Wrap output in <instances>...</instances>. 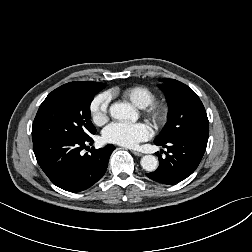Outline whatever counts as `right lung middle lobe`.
Segmentation results:
<instances>
[{
  "label": "right lung middle lobe",
  "mask_w": 252,
  "mask_h": 252,
  "mask_svg": "<svg viewBox=\"0 0 252 252\" xmlns=\"http://www.w3.org/2000/svg\"><path fill=\"white\" fill-rule=\"evenodd\" d=\"M100 89L67 83L52 91L39 110L32 126V138L83 140L96 129L90 121V104Z\"/></svg>",
  "instance_id": "dd1d6c3e"
}]
</instances>
